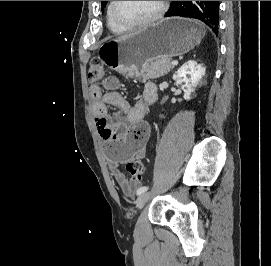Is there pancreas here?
<instances>
[{
    "instance_id": "cf45deb5",
    "label": "pancreas",
    "mask_w": 271,
    "mask_h": 266,
    "mask_svg": "<svg viewBox=\"0 0 271 266\" xmlns=\"http://www.w3.org/2000/svg\"><path fill=\"white\" fill-rule=\"evenodd\" d=\"M173 68L171 58L148 60L143 66L145 78H159L168 74Z\"/></svg>"
}]
</instances>
